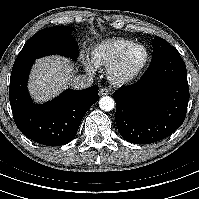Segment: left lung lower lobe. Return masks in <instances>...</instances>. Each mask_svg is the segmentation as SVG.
Returning a JSON list of instances; mask_svg holds the SVG:
<instances>
[{"instance_id":"obj_1","label":"left lung lower lobe","mask_w":199,"mask_h":199,"mask_svg":"<svg viewBox=\"0 0 199 199\" xmlns=\"http://www.w3.org/2000/svg\"><path fill=\"white\" fill-rule=\"evenodd\" d=\"M115 121L121 136L135 144L168 137L185 119L189 89L179 54L151 62L137 83L115 91Z\"/></svg>"}]
</instances>
